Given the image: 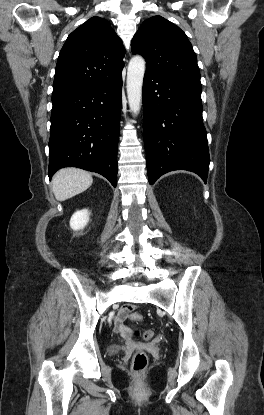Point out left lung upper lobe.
I'll return each mask as SVG.
<instances>
[{"label": "left lung upper lobe", "mask_w": 264, "mask_h": 415, "mask_svg": "<svg viewBox=\"0 0 264 415\" xmlns=\"http://www.w3.org/2000/svg\"><path fill=\"white\" fill-rule=\"evenodd\" d=\"M132 53L146 60V71L200 83L196 54L186 34L161 16L145 20L132 42Z\"/></svg>", "instance_id": "obj_1"}]
</instances>
